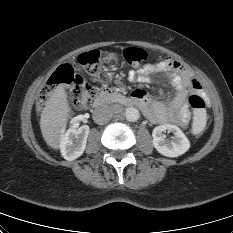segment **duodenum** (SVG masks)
I'll return each instance as SVG.
<instances>
[{"mask_svg":"<svg viewBox=\"0 0 233 233\" xmlns=\"http://www.w3.org/2000/svg\"><path fill=\"white\" fill-rule=\"evenodd\" d=\"M108 102L119 103L127 106H130L134 103L133 100L123 96L115 90L111 88H104L98 93L94 105L95 107H101Z\"/></svg>","mask_w":233,"mask_h":233,"instance_id":"1","label":"duodenum"}]
</instances>
